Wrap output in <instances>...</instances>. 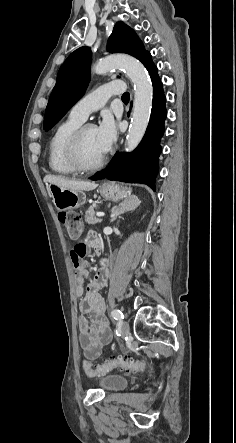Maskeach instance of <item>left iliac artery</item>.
I'll return each instance as SVG.
<instances>
[{"label":"left iliac artery","mask_w":236,"mask_h":443,"mask_svg":"<svg viewBox=\"0 0 236 443\" xmlns=\"http://www.w3.org/2000/svg\"><path fill=\"white\" fill-rule=\"evenodd\" d=\"M111 315L116 321H119V322L124 319V315L119 309H114L111 312Z\"/></svg>","instance_id":"obj_1"}]
</instances>
